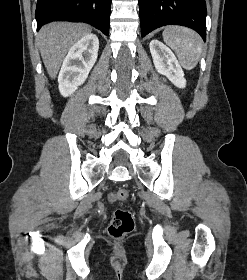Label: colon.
Wrapping results in <instances>:
<instances>
[{
  "label": "colon",
  "mask_w": 247,
  "mask_h": 280,
  "mask_svg": "<svg viewBox=\"0 0 247 280\" xmlns=\"http://www.w3.org/2000/svg\"><path fill=\"white\" fill-rule=\"evenodd\" d=\"M129 197V192L125 188H119L113 193L115 201H125ZM135 221L133 213L124 208L116 209L108 226V233L114 238H122L131 233L134 229Z\"/></svg>",
  "instance_id": "1"
}]
</instances>
